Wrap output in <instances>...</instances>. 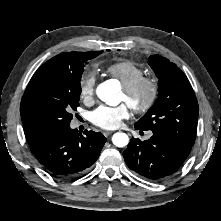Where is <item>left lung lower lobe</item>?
<instances>
[{"label": "left lung lower lobe", "instance_id": "1", "mask_svg": "<svg viewBox=\"0 0 221 221\" xmlns=\"http://www.w3.org/2000/svg\"><path fill=\"white\" fill-rule=\"evenodd\" d=\"M191 148L173 138L153 132V136L144 142L131 139L123 157L131 170L146 179L159 181L179 170Z\"/></svg>", "mask_w": 221, "mask_h": 221}]
</instances>
